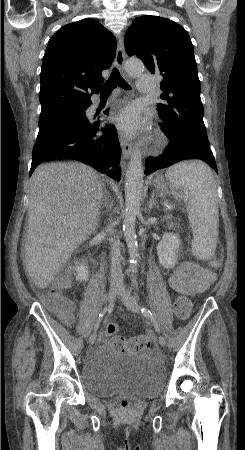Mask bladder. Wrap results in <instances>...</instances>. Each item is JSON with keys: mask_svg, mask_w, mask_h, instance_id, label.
<instances>
[{"mask_svg": "<svg viewBox=\"0 0 245 450\" xmlns=\"http://www.w3.org/2000/svg\"><path fill=\"white\" fill-rule=\"evenodd\" d=\"M80 371L87 391L98 397L118 390L154 396L164 382L163 368L144 355H101L84 362Z\"/></svg>", "mask_w": 245, "mask_h": 450, "instance_id": "bladder-1", "label": "bladder"}]
</instances>
